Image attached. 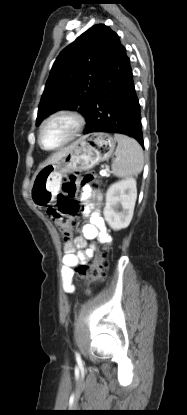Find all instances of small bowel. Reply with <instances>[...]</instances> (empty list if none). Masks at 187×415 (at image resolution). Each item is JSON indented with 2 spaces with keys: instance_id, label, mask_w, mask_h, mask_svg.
<instances>
[{
  "instance_id": "1",
  "label": "small bowel",
  "mask_w": 187,
  "mask_h": 415,
  "mask_svg": "<svg viewBox=\"0 0 187 415\" xmlns=\"http://www.w3.org/2000/svg\"><path fill=\"white\" fill-rule=\"evenodd\" d=\"M80 192L83 203L82 214L89 218V223L82 227L81 235L73 241H66L64 245L65 254L62 258L61 273L63 289L66 293H73L75 290L72 283L73 269L80 264H86L95 251V245L87 247V241L99 239L103 243L111 242V236L101 214L102 192L90 186H83Z\"/></svg>"
}]
</instances>
